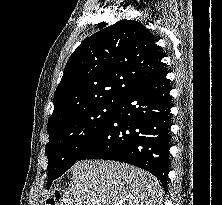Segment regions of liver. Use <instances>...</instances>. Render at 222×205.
<instances>
[{
	"label": "liver",
	"instance_id": "liver-1",
	"mask_svg": "<svg viewBox=\"0 0 222 205\" xmlns=\"http://www.w3.org/2000/svg\"><path fill=\"white\" fill-rule=\"evenodd\" d=\"M162 201L163 188L149 172L119 162L85 160L72 167L60 205H161Z\"/></svg>",
	"mask_w": 222,
	"mask_h": 205
}]
</instances>
